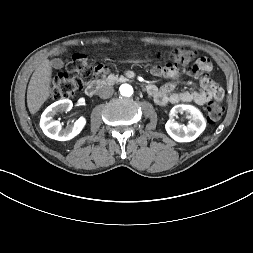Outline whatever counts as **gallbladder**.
I'll use <instances>...</instances> for the list:
<instances>
[{
  "mask_svg": "<svg viewBox=\"0 0 253 253\" xmlns=\"http://www.w3.org/2000/svg\"><path fill=\"white\" fill-rule=\"evenodd\" d=\"M51 65L55 68V69H61L64 67V62L59 59V58H54L52 61H51Z\"/></svg>",
  "mask_w": 253,
  "mask_h": 253,
  "instance_id": "obj_1",
  "label": "gallbladder"
}]
</instances>
